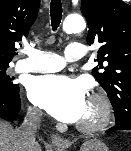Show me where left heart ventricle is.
<instances>
[{"label":"left heart ventricle","mask_w":131,"mask_h":151,"mask_svg":"<svg viewBox=\"0 0 131 151\" xmlns=\"http://www.w3.org/2000/svg\"><path fill=\"white\" fill-rule=\"evenodd\" d=\"M97 115H98L97 107L90 101H87L85 111L80 121H92L97 117Z\"/></svg>","instance_id":"left-heart-ventricle-1"}]
</instances>
